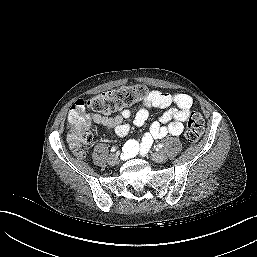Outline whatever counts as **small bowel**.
<instances>
[{
	"instance_id": "obj_1",
	"label": "small bowel",
	"mask_w": 257,
	"mask_h": 257,
	"mask_svg": "<svg viewBox=\"0 0 257 257\" xmlns=\"http://www.w3.org/2000/svg\"><path fill=\"white\" fill-rule=\"evenodd\" d=\"M192 106V98L187 94H168L158 90L149 91L136 111L134 117V124L136 126L140 127L146 123L149 117V108L158 107L168 109L158 120L150 124L148 132L140 142L130 140L125 144L123 148L124 157L133 156L138 151H147L154 139H161L167 135H180L183 132V124L187 120ZM130 116L131 111L125 109L113 117L91 113L87 115V119L103 126L107 132H113L118 136H125L130 129L129 125L125 123V120L130 118Z\"/></svg>"
}]
</instances>
